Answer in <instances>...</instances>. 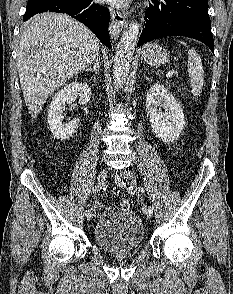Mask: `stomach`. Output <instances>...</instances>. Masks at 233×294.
Segmentation results:
<instances>
[{
	"instance_id": "stomach-1",
	"label": "stomach",
	"mask_w": 233,
	"mask_h": 294,
	"mask_svg": "<svg viewBox=\"0 0 233 294\" xmlns=\"http://www.w3.org/2000/svg\"><path fill=\"white\" fill-rule=\"evenodd\" d=\"M141 59L149 65H162L168 62L169 53L157 43H148L141 50Z\"/></svg>"
}]
</instances>
